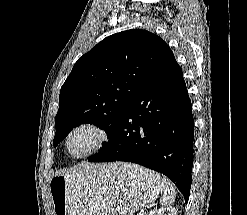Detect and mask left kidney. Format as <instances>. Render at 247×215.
Here are the masks:
<instances>
[{"label":"left kidney","mask_w":247,"mask_h":215,"mask_svg":"<svg viewBox=\"0 0 247 215\" xmlns=\"http://www.w3.org/2000/svg\"><path fill=\"white\" fill-rule=\"evenodd\" d=\"M149 215H176V209L173 207L160 208L158 210H152Z\"/></svg>","instance_id":"5707ae66"}]
</instances>
